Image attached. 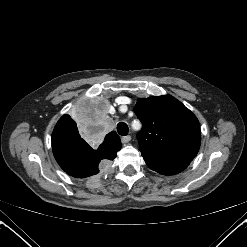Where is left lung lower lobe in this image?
Returning <instances> with one entry per match:
<instances>
[{
    "instance_id": "obj_1",
    "label": "left lung lower lobe",
    "mask_w": 247,
    "mask_h": 247,
    "mask_svg": "<svg viewBox=\"0 0 247 247\" xmlns=\"http://www.w3.org/2000/svg\"><path fill=\"white\" fill-rule=\"evenodd\" d=\"M144 160L152 170L164 175L180 173L190 164V161H166L149 158H144Z\"/></svg>"
}]
</instances>
